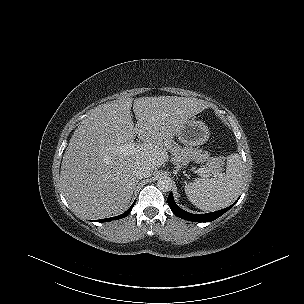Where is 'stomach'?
Masks as SVG:
<instances>
[{"label":"stomach","mask_w":304,"mask_h":304,"mask_svg":"<svg viewBox=\"0 0 304 304\" xmlns=\"http://www.w3.org/2000/svg\"><path fill=\"white\" fill-rule=\"evenodd\" d=\"M177 136L183 144L195 147L203 145L209 139L210 131L203 121L192 118L184 122L178 130ZM192 160L196 163L202 162L196 157Z\"/></svg>","instance_id":"obj_1"}]
</instances>
